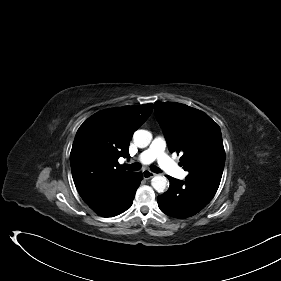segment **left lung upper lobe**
<instances>
[{
  "label": "left lung upper lobe",
  "instance_id": "5c2ea615",
  "mask_svg": "<svg viewBox=\"0 0 281 281\" xmlns=\"http://www.w3.org/2000/svg\"><path fill=\"white\" fill-rule=\"evenodd\" d=\"M156 117L169 150L181 152L180 166L188 178L219 187L225 151L220 127L204 112L179 103H155Z\"/></svg>",
  "mask_w": 281,
  "mask_h": 281
}]
</instances>
